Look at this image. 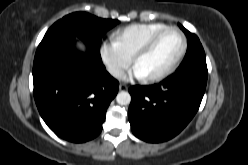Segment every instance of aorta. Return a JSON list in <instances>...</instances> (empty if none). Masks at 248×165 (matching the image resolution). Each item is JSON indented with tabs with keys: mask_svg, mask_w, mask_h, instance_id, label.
<instances>
[{
	"mask_svg": "<svg viewBox=\"0 0 248 165\" xmlns=\"http://www.w3.org/2000/svg\"><path fill=\"white\" fill-rule=\"evenodd\" d=\"M116 101L119 105H128L131 102V95L126 91H121L117 94Z\"/></svg>",
	"mask_w": 248,
	"mask_h": 165,
	"instance_id": "762f6f07",
	"label": "aorta"
}]
</instances>
